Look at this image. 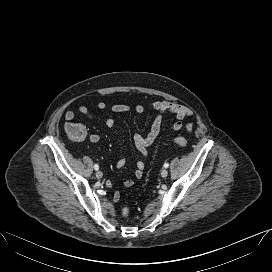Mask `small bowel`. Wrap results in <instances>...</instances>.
Wrapping results in <instances>:
<instances>
[{
	"instance_id": "small-bowel-1",
	"label": "small bowel",
	"mask_w": 272,
	"mask_h": 272,
	"mask_svg": "<svg viewBox=\"0 0 272 272\" xmlns=\"http://www.w3.org/2000/svg\"><path fill=\"white\" fill-rule=\"evenodd\" d=\"M97 108L99 110H106L107 105L104 102H98L97 103ZM151 108L158 112V114L155 116L152 125L150 127V130L147 135L142 136L140 134H136L133 137V143L137 151L144 157L148 155V148L156 141L158 138L161 128L163 125V116L165 114H172L177 118V121L172 123L171 128L174 131H179L183 129L184 127L188 132H191L192 130V123L188 122L187 124H184L182 122V119L185 117H190L192 116L193 112L192 110L180 103L173 102V101H164V100H155L150 104ZM111 111L113 113H128V112H135V113H142L144 112V106L137 104V105H128V104H123V103H116L111 106ZM78 112L90 119L94 118V115L92 112L86 107V106H79L78 107ZM65 120L67 122H71L75 118V113L73 111H67L64 115ZM105 126L109 129H112L114 127L115 121L112 115H109L106 120H105ZM99 135L97 134H91L89 136V141L91 143H97L99 142ZM126 164V158L122 157L121 159L118 160L116 163L117 169H121L125 166ZM144 162L142 160H138L136 162V170L134 172V176L136 178H141L143 175L144 171ZM134 184V181L132 179H126L123 182V185L125 187H132ZM110 187L111 184H109ZM120 199V193L118 191H114L113 193V200L117 202Z\"/></svg>"
}]
</instances>
